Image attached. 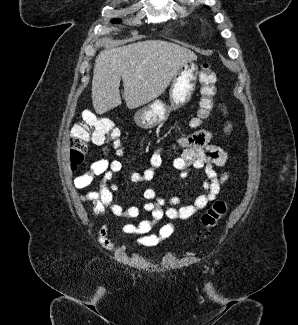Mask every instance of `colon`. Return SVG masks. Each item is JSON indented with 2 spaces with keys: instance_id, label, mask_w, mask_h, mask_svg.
I'll use <instances>...</instances> for the list:
<instances>
[{
  "instance_id": "colon-1",
  "label": "colon",
  "mask_w": 298,
  "mask_h": 325,
  "mask_svg": "<svg viewBox=\"0 0 298 325\" xmlns=\"http://www.w3.org/2000/svg\"><path fill=\"white\" fill-rule=\"evenodd\" d=\"M200 84V108L198 116L193 120L192 125L197 126L203 119L210 115L214 106L216 74L209 63H204L199 70ZM119 130L114 123L106 117L98 116L91 112H83L71 128L70 141V166L76 169L85 159L89 150V144H105L113 142L114 147L118 146ZM227 211V203L224 200H217L201 218L206 228V233L214 228Z\"/></svg>"
}]
</instances>
